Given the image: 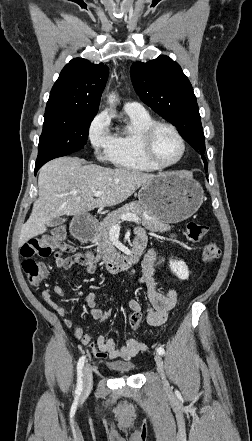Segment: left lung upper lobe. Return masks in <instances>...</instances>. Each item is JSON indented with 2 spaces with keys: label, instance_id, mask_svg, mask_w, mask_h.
<instances>
[{
  "label": "left lung upper lobe",
  "instance_id": "5c2ea615",
  "mask_svg": "<svg viewBox=\"0 0 252 441\" xmlns=\"http://www.w3.org/2000/svg\"><path fill=\"white\" fill-rule=\"evenodd\" d=\"M134 89L140 99L171 122L196 151L205 152V137L193 88L181 67L166 55L131 66ZM205 168L207 161L202 157Z\"/></svg>",
  "mask_w": 252,
  "mask_h": 441
}]
</instances>
